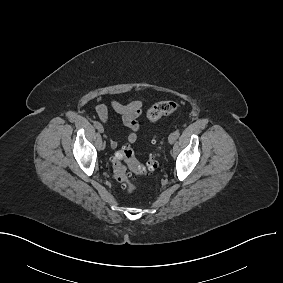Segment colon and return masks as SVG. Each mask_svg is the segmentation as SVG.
<instances>
[{"label":"colon","instance_id":"5ec220e1","mask_svg":"<svg viewBox=\"0 0 283 283\" xmlns=\"http://www.w3.org/2000/svg\"><path fill=\"white\" fill-rule=\"evenodd\" d=\"M179 110V105L173 101H161L151 106L147 112V118L150 122H156L159 119L172 115ZM113 177L121 184L127 192L135 191L134 175H146L153 173L158 166V154L152 153L144 163L139 162L133 149L130 146H124L118 150L112 157Z\"/></svg>","mask_w":283,"mask_h":283}]
</instances>
